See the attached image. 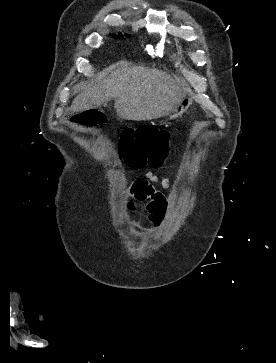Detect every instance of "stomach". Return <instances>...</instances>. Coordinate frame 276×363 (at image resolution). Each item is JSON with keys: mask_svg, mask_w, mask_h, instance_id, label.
I'll return each instance as SVG.
<instances>
[{"mask_svg": "<svg viewBox=\"0 0 276 363\" xmlns=\"http://www.w3.org/2000/svg\"><path fill=\"white\" fill-rule=\"evenodd\" d=\"M192 103V99L189 97H183L180 103L167 115H165L166 120H172L180 117L184 112L187 111Z\"/></svg>", "mask_w": 276, "mask_h": 363, "instance_id": "stomach-1", "label": "stomach"}]
</instances>
